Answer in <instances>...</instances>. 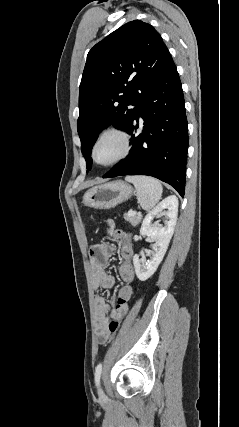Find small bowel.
<instances>
[{
  "instance_id": "small-bowel-1",
  "label": "small bowel",
  "mask_w": 239,
  "mask_h": 427,
  "mask_svg": "<svg viewBox=\"0 0 239 427\" xmlns=\"http://www.w3.org/2000/svg\"><path fill=\"white\" fill-rule=\"evenodd\" d=\"M117 232L112 229L110 223V235L113 236V233ZM124 231L118 233L122 235ZM115 246L108 243H100L91 247L90 249V263L93 276V284L95 289H111L115 285V277L108 272L107 266L109 258L114 254ZM135 290L134 285H131V292L129 298H124L125 302L119 304V298L114 310H111L106 299L102 296H96L94 299L95 304V318H96V329L98 332L99 341L104 343L109 334L108 328V316L110 315L113 319L119 321L121 320L128 310L127 302L133 295Z\"/></svg>"
}]
</instances>
